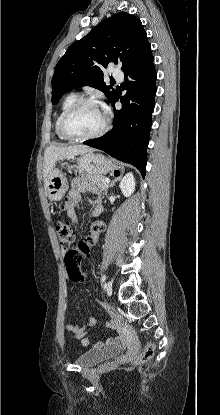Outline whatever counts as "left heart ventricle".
<instances>
[{"instance_id":"1","label":"left heart ventricle","mask_w":220,"mask_h":415,"mask_svg":"<svg viewBox=\"0 0 220 415\" xmlns=\"http://www.w3.org/2000/svg\"><path fill=\"white\" fill-rule=\"evenodd\" d=\"M103 123V111L98 106L86 105L70 117L67 127L73 135L88 136L99 131Z\"/></svg>"}]
</instances>
